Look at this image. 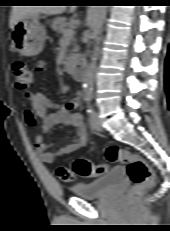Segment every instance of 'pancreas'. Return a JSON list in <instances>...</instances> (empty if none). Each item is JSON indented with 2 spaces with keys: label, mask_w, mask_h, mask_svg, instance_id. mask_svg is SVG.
<instances>
[{
  "label": "pancreas",
  "mask_w": 170,
  "mask_h": 231,
  "mask_svg": "<svg viewBox=\"0 0 170 231\" xmlns=\"http://www.w3.org/2000/svg\"><path fill=\"white\" fill-rule=\"evenodd\" d=\"M51 28L56 31L57 33H61L64 36V32L66 29H71V23L67 21L66 18L64 17H58L57 19H55L52 24H51ZM72 39V37L70 38ZM78 51V47L75 46L74 47V52Z\"/></svg>",
  "instance_id": "cf45deb5"
}]
</instances>
